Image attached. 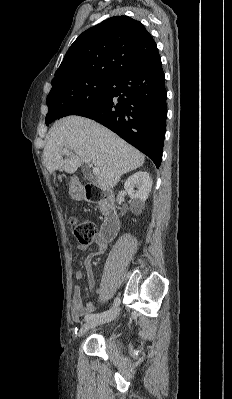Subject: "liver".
Wrapping results in <instances>:
<instances>
[{"mask_svg":"<svg viewBox=\"0 0 232 399\" xmlns=\"http://www.w3.org/2000/svg\"><path fill=\"white\" fill-rule=\"evenodd\" d=\"M48 134L43 160L49 174L55 170L74 174L84 158L100 170L97 178L99 188L111 190L123 174L144 164L143 154L88 118H62L55 122ZM64 148H67L68 154H64ZM62 156H66L65 160Z\"/></svg>","mask_w":232,"mask_h":399,"instance_id":"6515ba94","label":"liver"}]
</instances>
